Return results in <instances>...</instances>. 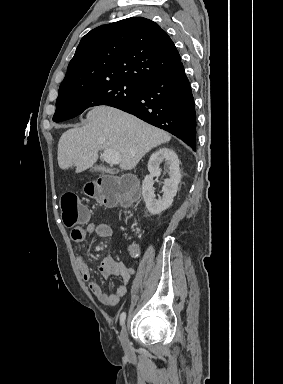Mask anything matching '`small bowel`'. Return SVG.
I'll list each match as a JSON object with an SVG mask.
<instances>
[{
    "label": "small bowel",
    "mask_w": 283,
    "mask_h": 384,
    "mask_svg": "<svg viewBox=\"0 0 283 384\" xmlns=\"http://www.w3.org/2000/svg\"><path fill=\"white\" fill-rule=\"evenodd\" d=\"M91 234L106 238L112 236L113 232L111 227L107 224L90 222L84 226L75 228L71 232V239L76 243H80ZM137 253V250L133 251L134 255H137ZM76 262L81 277L88 283L89 290L102 304L114 306L126 294L128 284L134 274V270L127 267L124 263L117 261L111 256L106 257L101 263L99 272L102 277L109 278L120 276L122 280L121 285L117 287L113 293L107 294L103 292L101 287L96 282L92 281L91 271L85 263L82 255L78 252L76 253Z\"/></svg>",
    "instance_id": "c3829d8e"
}]
</instances>
